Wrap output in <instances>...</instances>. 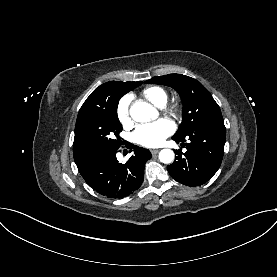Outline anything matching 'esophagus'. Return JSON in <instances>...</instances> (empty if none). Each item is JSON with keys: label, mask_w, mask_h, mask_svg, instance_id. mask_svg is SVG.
Returning a JSON list of instances; mask_svg holds the SVG:
<instances>
[{"label": "esophagus", "mask_w": 277, "mask_h": 277, "mask_svg": "<svg viewBox=\"0 0 277 277\" xmlns=\"http://www.w3.org/2000/svg\"><path fill=\"white\" fill-rule=\"evenodd\" d=\"M151 153H152L153 155H155V154L159 153V149H152V150H151Z\"/></svg>", "instance_id": "esophagus-1"}]
</instances>
